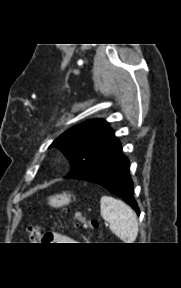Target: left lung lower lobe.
<instances>
[{
    "label": "left lung lower lobe",
    "mask_w": 181,
    "mask_h": 288,
    "mask_svg": "<svg viewBox=\"0 0 181 288\" xmlns=\"http://www.w3.org/2000/svg\"><path fill=\"white\" fill-rule=\"evenodd\" d=\"M129 166V160L122 154L120 144L106 160L81 179L108 189L122 198L139 215L140 211L134 199L133 181L130 177Z\"/></svg>",
    "instance_id": "0a47b994"
}]
</instances>
